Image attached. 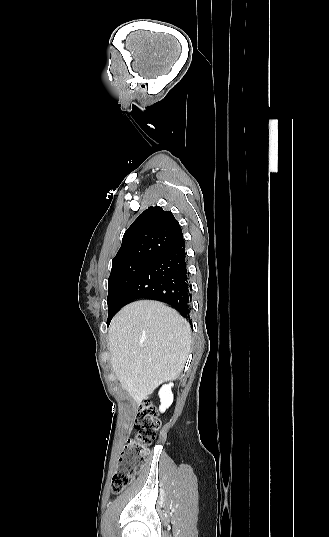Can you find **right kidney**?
I'll return each instance as SVG.
<instances>
[{"label": "right kidney", "mask_w": 329, "mask_h": 537, "mask_svg": "<svg viewBox=\"0 0 329 537\" xmlns=\"http://www.w3.org/2000/svg\"><path fill=\"white\" fill-rule=\"evenodd\" d=\"M172 386H173V383L163 385L162 388L159 391V397H160V401H161V405L159 407V410L162 413L165 412V410L173 402V394H172V391H171Z\"/></svg>", "instance_id": "ca27d5eb"}]
</instances>
